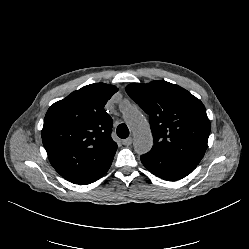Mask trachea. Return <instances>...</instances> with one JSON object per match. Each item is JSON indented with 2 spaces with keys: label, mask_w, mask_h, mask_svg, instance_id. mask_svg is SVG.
Returning <instances> with one entry per match:
<instances>
[{
  "label": "trachea",
  "mask_w": 249,
  "mask_h": 249,
  "mask_svg": "<svg viewBox=\"0 0 249 249\" xmlns=\"http://www.w3.org/2000/svg\"><path fill=\"white\" fill-rule=\"evenodd\" d=\"M117 135L122 139L127 138L129 136V129L126 124H120L117 127Z\"/></svg>",
  "instance_id": "3493384b"
}]
</instances>
